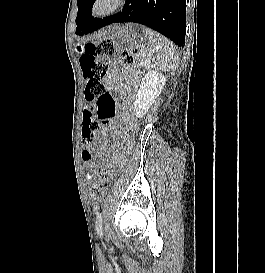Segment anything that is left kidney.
I'll return each instance as SVG.
<instances>
[{"instance_id":"1","label":"left kidney","mask_w":265,"mask_h":273,"mask_svg":"<svg viewBox=\"0 0 265 273\" xmlns=\"http://www.w3.org/2000/svg\"><path fill=\"white\" fill-rule=\"evenodd\" d=\"M166 77L158 71L150 70L141 80L140 88L134 102V112L138 118L143 117L161 94Z\"/></svg>"}]
</instances>
